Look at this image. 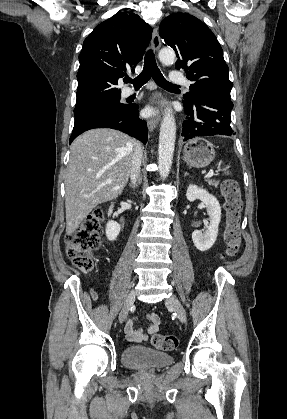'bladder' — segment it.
<instances>
[{
	"label": "bladder",
	"instance_id": "obj_1",
	"mask_svg": "<svg viewBox=\"0 0 287 419\" xmlns=\"http://www.w3.org/2000/svg\"><path fill=\"white\" fill-rule=\"evenodd\" d=\"M173 356L143 346L123 349L121 361L136 370H159L173 363Z\"/></svg>",
	"mask_w": 287,
	"mask_h": 419
}]
</instances>
